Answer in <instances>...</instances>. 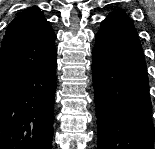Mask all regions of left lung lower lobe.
<instances>
[{
  "label": "left lung lower lobe",
  "instance_id": "1",
  "mask_svg": "<svg viewBox=\"0 0 155 149\" xmlns=\"http://www.w3.org/2000/svg\"><path fill=\"white\" fill-rule=\"evenodd\" d=\"M92 55L98 149H153L146 62L125 13L102 21Z\"/></svg>",
  "mask_w": 155,
  "mask_h": 149
}]
</instances>
